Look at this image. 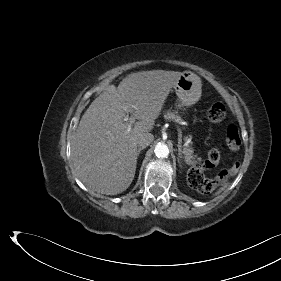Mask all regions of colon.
<instances>
[{"mask_svg":"<svg viewBox=\"0 0 281 281\" xmlns=\"http://www.w3.org/2000/svg\"><path fill=\"white\" fill-rule=\"evenodd\" d=\"M206 116L211 123H220L225 119L226 108L222 103H215L208 109ZM226 144L231 150H237L241 146L239 131L234 125H229L227 127ZM220 156L218 148H212L208 152L207 158L203 160L198 167L190 171L188 180L191 186L201 192L209 193L238 171L240 163L236 161L229 169L220 171L214 180L205 178L202 171L218 165Z\"/></svg>","mask_w":281,"mask_h":281,"instance_id":"5ec220e1","label":"colon"}]
</instances>
